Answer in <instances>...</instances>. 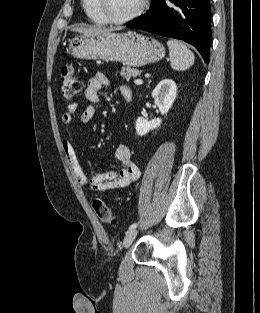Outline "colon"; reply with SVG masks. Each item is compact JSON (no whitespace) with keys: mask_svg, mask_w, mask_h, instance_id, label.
<instances>
[{"mask_svg":"<svg viewBox=\"0 0 260 313\" xmlns=\"http://www.w3.org/2000/svg\"><path fill=\"white\" fill-rule=\"evenodd\" d=\"M83 83L74 68L66 65L61 70V95L65 100H71L81 93ZM93 209L100 220L113 224L114 218L106 202L96 198L92 203Z\"/></svg>","mask_w":260,"mask_h":313,"instance_id":"1","label":"colon"}]
</instances>
